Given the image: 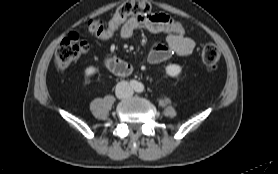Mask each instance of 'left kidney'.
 Returning a JSON list of instances; mask_svg holds the SVG:
<instances>
[{
    "label": "left kidney",
    "mask_w": 278,
    "mask_h": 174,
    "mask_svg": "<svg viewBox=\"0 0 278 174\" xmlns=\"http://www.w3.org/2000/svg\"><path fill=\"white\" fill-rule=\"evenodd\" d=\"M181 70H182L181 66L177 64H170L166 67V73L171 77L178 76L181 73Z\"/></svg>",
    "instance_id": "1"
}]
</instances>
